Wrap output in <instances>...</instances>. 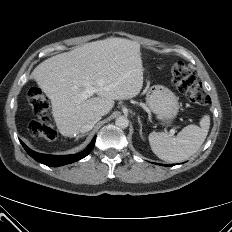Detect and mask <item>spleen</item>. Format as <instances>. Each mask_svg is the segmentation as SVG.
Here are the masks:
<instances>
[{"label":"spleen","instance_id":"obj_1","mask_svg":"<svg viewBox=\"0 0 232 232\" xmlns=\"http://www.w3.org/2000/svg\"><path fill=\"white\" fill-rule=\"evenodd\" d=\"M210 127L209 115L200 120V127L188 125L177 135L171 137L164 132L149 134V143L152 151L160 159L167 162H180L195 154L206 139Z\"/></svg>","mask_w":232,"mask_h":232}]
</instances>
